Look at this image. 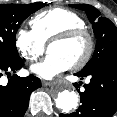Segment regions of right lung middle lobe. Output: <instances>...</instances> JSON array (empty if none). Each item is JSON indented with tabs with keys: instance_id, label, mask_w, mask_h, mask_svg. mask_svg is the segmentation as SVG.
Masks as SVG:
<instances>
[{
	"instance_id": "1",
	"label": "right lung middle lobe",
	"mask_w": 117,
	"mask_h": 117,
	"mask_svg": "<svg viewBox=\"0 0 117 117\" xmlns=\"http://www.w3.org/2000/svg\"><path fill=\"white\" fill-rule=\"evenodd\" d=\"M45 3L0 4V62L19 59L16 48V32L20 24L32 13L44 7Z\"/></svg>"
}]
</instances>
